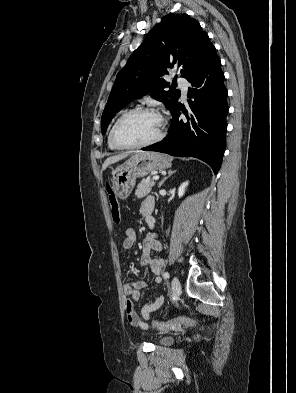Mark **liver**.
Masks as SVG:
<instances>
[{"label":"liver","instance_id":"liver-1","mask_svg":"<svg viewBox=\"0 0 296 393\" xmlns=\"http://www.w3.org/2000/svg\"><path fill=\"white\" fill-rule=\"evenodd\" d=\"M130 153H132V152H125V153H121L119 155H115V156H111V157L107 158L102 165V169L105 170L109 165L116 163L122 159H125ZM137 153H140V152H137Z\"/></svg>","mask_w":296,"mask_h":393}]
</instances>
